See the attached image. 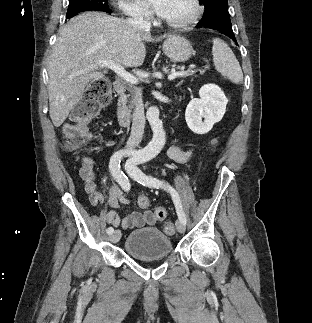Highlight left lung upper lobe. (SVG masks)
I'll return each mask as SVG.
<instances>
[{"label": "left lung upper lobe", "instance_id": "1", "mask_svg": "<svg viewBox=\"0 0 312 323\" xmlns=\"http://www.w3.org/2000/svg\"><path fill=\"white\" fill-rule=\"evenodd\" d=\"M205 6L203 18L199 21L198 27H213L220 22L231 24L228 12L227 0H199Z\"/></svg>", "mask_w": 312, "mask_h": 323}]
</instances>
